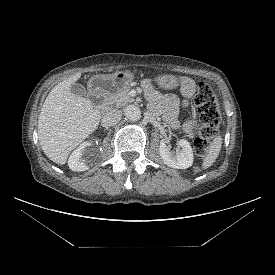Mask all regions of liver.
Returning <instances> with one entry per match:
<instances>
[{
  "label": "liver",
  "instance_id": "1",
  "mask_svg": "<svg viewBox=\"0 0 275 275\" xmlns=\"http://www.w3.org/2000/svg\"><path fill=\"white\" fill-rule=\"evenodd\" d=\"M81 77L76 73L57 84L48 94L38 118V138L45 155L63 165L72 150L100 123L101 114L91 100L70 88Z\"/></svg>",
  "mask_w": 275,
  "mask_h": 275
}]
</instances>
